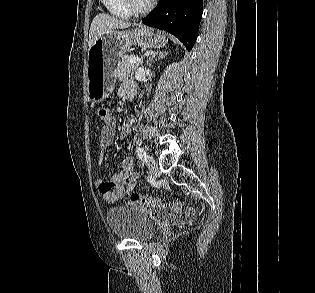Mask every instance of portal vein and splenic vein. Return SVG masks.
Here are the masks:
<instances>
[{
	"instance_id": "18ae733b",
	"label": "portal vein and splenic vein",
	"mask_w": 315,
	"mask_h": 293,
	"mask_svg": "<svg viewBox=\"0 0 315 293\" xmlns=\"http://www.w3.org/2000/svg\"><path fill=\"white\" fill-rule=\"evenodd\" d=\"M141 59L138 57H131L129 60V63L131 64H136V63H140Z\"/></svg>"
}]
</instances>
